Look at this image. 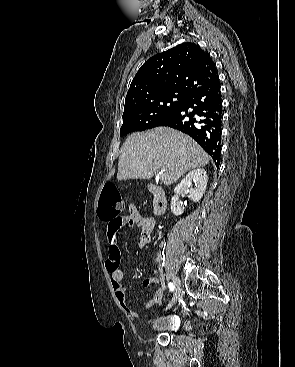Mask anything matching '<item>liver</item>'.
Masks as SVG:
<instances>
[{
    "label": "liver",
    "instance_id": "6515ba94",
    "mask_svg": "<svg viewBox=\"0 0 295 367\" xmlns=\"http://www.w3.org/2000/svg\"><path fill=\"white\" fill-rule=\"evenodd\" d=\"M209 155L189 136L168 127L133 133L126 139L118 162V180L150 179L159 170L165 185L187 171L204 167Z\"/></svg>",
    "mask_w": 295,
    "mask_h": 367
}]
</instances>
